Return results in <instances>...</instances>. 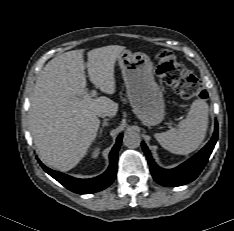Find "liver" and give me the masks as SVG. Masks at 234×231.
Wrapping results in <instances>:
<instances>
[{
	"mask_svg": "<svg viewBox=\"0 0 234 231\" xmlns=\"http://www.w3.org/2000/svg\"><path fill=\"white\" fill-rule=\"evenodd\" d=\"M124 46L110 45L90 50L88 74L106 94L115 93V62ZM83 49L65 52L50 60L36 80L29 124L41 160L59 170L74 168L96 138L101 111L116 115L118 104L86 92ZM81 97V98H79Z\"/></svg>",
	"mask_w": 234,
	"mask_h": 231,
	"instance_id": "6515ba94",
	"label": "liver"
}]
</instances>
